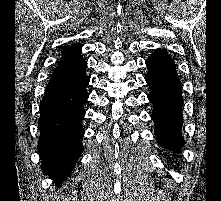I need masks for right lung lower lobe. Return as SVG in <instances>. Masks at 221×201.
Masks as SVG:
<instances>
[{
  "mask_svg": "<svg viewBox=\"0 0 221 201\" xmlns=\"http://www.w3.org/2000/svg\"><path fill=\"white\" fill-rule=\"evenodd\" d=\"M87 62H60L51 75L40 103L38 150L42 170L57 183L67 178L83 151L84 102L89 94Z\"/></svg>",
  "mask_w": 221,
  "mask_h": 201,
  "instance_id": "98d812e1",
  "label": "right lung lower lobe"
}]
</instances>
